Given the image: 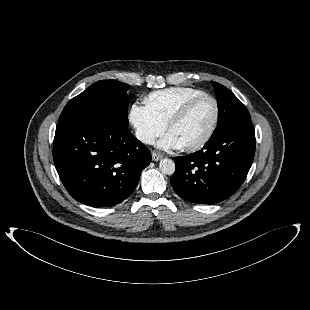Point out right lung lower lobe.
I'll use <instances>...</instances> for the list:
<instances>
[{"label":"right lung lower lobe","instance_id":"obj_1","mask_svg":"<svg viewBox=\"0 0 310 310\" xmlns=\"http://www.w3.org/2000/svg\"><path fill=\"white\" fill-rule=\"evenodd\" d=\"M53 159L74 199L92 207H110L133 192L151 154L127 127L75 117L58 122Z\"/></svg>","mask_w":310,"mask_h":310}]
</instances>
